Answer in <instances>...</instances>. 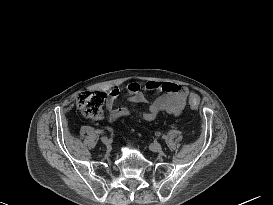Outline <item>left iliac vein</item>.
I'll return each mask as SVG.
<instances>
[{"mask_svg": "<svg viewBox=\"0 0 273 205\" xmlns=\"http://www.w3.org/2000/svg\"><path fill=\"white\" fill-rule=\"evenodd\" d=\"M150 149L154 152H160L162 150V145L160 143L150 144Z\"/></svg>", "mask_w": 273, "mask_h": 205, "instance_id": "1", "label": "left iliac vein"}]
</instances>
